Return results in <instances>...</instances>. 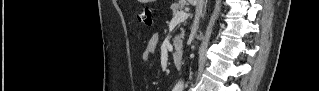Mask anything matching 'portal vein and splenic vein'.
<instances>
[{"mask_svg":"<svg viewBox=\"0 0 319 91\" xmlns=\"http://www.w3.org/2000/svg\"><path fill=\"white\" fill-rule=\"evenodd\" d=\"M187 18H188V13H186L184 11H180V12H177L176 14H174V16L172 18V22L179 24V23L184 22Z\"/></svg>","mask_w":319,"mask_h":91,"instance_id":"1","label":"portal vein and splenic vein"}]
</instances>
